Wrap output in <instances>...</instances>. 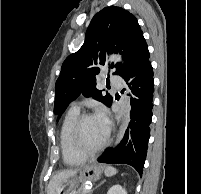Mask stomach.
Wrapping results in <instances>:
<instances>
[{"label":"stomach","mask_w":201,"mask_h":194,"mask_svg":"<svg viewBox=\"0 0 201 194\" xmlns=\"http://www.w3.org/2000/svg\"><path fill=\"white\" fill-rule=\"evenodd\" d=\"M104 167L92 163L83 167L78 176L70 177L60 183L55 194H72L79 183L97 181L103 173Z\"/></svg>","instance_id":"obj_1"}]
</instances>
